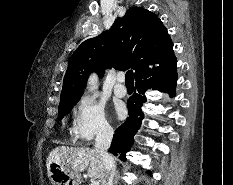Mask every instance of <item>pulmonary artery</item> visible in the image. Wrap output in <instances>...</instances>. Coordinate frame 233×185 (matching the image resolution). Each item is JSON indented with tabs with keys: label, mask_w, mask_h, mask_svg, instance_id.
Returning <instances> with one entry per match:
<instances>
[{
	"label": "pulmonary artery",
	"mask_w": 233,
	"mask_h": 185,
	"mask_svg": "<svg viewBox=\"0 0 233 185\" xmlns=\"http://www.w3.org/2000/svg\"><path fill=\"white\" fill-rule=\"evenodd\" d=\"M124 79H125V76L123 73H119L117 75V83L114 87V92L119 97H123L127 93L126 86L124 85Z\"/></svg>",
	"instance_id": "pulmonary-artery-1"
}]
</instances>
